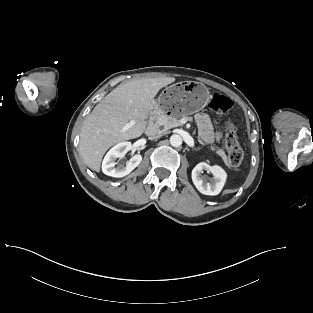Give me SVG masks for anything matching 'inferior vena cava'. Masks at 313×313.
<instances>
[{
  "mask_svg": "<svg viewBox=\"0 0 313 313\" xmlns=\"http://www.w3.org/2000/svg\"><path fill=\"white\" fill-rule=\"evenodd\" d=\"M148 136H150L151 139H157L164 135V131L160 130H148L147 131Z\"/></svg>",
  "mask_w": 313,
  "mask_h": 313,
  "instance_id": "obj_1",
  "label": "inferior vena cava"
}]
</instances>
